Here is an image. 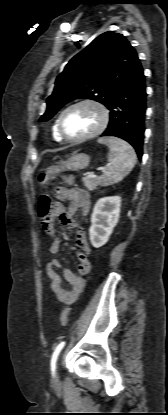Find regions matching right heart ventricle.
<instances>
[{"instance_id": "e07e8e85", "label": "right heart ventricle", "mask_w": 168, "mask_h": 415, "mask_svg": "<svg viewBox=\"0 0 168 415\" xmlns=\"http://www.w3.org/2000/svg\"><path fill=\"white\" fill-rule=\"evenodd\" d=\"M57 120H58V118L54 121V123L52 125L51 134H52V137L55 141L61 142V141H63V139L61 138V136L58 133Z\"/></svg>"}]
</instances>
